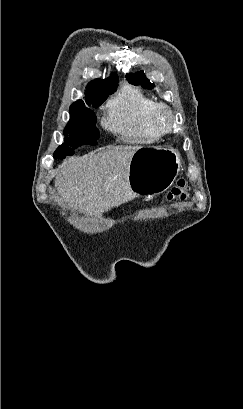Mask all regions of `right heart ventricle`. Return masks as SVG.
I'll return each mask as SVG.
<instances>
[{"label": "right heart ventricle", "mask_w": 243, "mask_h": 409, "mask_svg": "<svg viewBox=\"0 0 243 409\" xmlns=\"http://www.w3.org/2000/svg\"><path fill=\"white\" fill-rule=\"evenodd\" d=\"M156 102L140 89L125 85L107 104L104 125L120 138L150 144L159 136L154 131L150 115Z\"/></svg>", "instance_id": "right-heart-ventricle-1"}]
</instances>
